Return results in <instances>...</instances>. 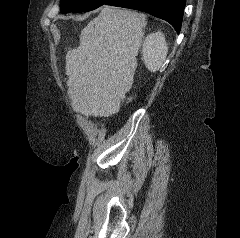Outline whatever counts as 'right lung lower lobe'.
Wrapping results in <instances>:
<instances>
[{
  "instance_id": "obj_1",
  "label": "right lung lower lobe",
  "mask_w": 240,
  "mask_h": 238,
  "mask_svg": "<svg viewBox=\"0 0 240 238\" xmlns=\"http://www.w3.org/2000/svg\"><path fill=\"white\" fill-rule=\"evenodd\" d=\"M186 0H113L107 5L149 13L169 22L179 33Z\"/></svg>"
}]
</instances>
